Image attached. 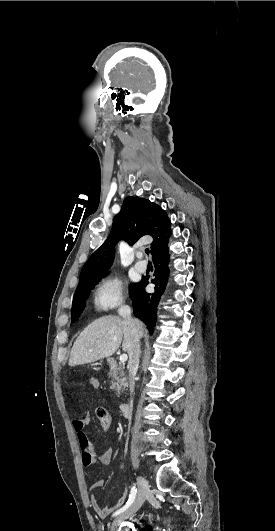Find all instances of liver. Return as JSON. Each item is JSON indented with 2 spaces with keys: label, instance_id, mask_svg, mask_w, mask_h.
I'll return each mask as SVG.
<instances>
[{
  "label": "liver",
  "instance_id": "liver-1",
  "mask_svg": "<svg viewBox=\"0 0 275 531\" xmlns=\"http://www.w3.org/2000/svg\"><path fill=\"white\" fill-rule=\"evenodd\" d=\"M140 337L143 335V325L141 321L134 319ZM122 343V349L128 353L132 341L131 329L120 317H100L93 323H90L79 337H77L71 351L69 365H86V363H95L104 357H111L119 349Z\"/></svg>",
  "mask_w": 275,
  "mask_h": 531
}]
</instances>
